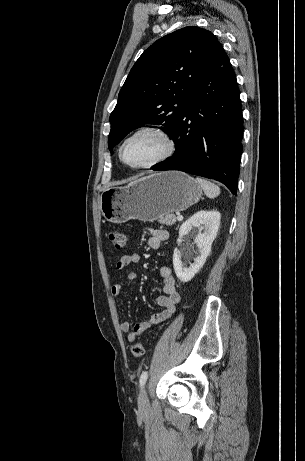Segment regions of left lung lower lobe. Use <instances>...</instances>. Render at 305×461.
<instances>
[{
    "mask_svg": "<svg viewBox=\"0 0 305 461\" xmlns=\"http://www.w3.org/2000/svg\"><path fill=\"white\" fill-rule=\"evenodd\" d=\"M243 117L236 76L224 49L194 87L171 138L172 157L155 171L180 170L222 182L237 193Z\"/></svg>",
    "mask_w": 305,
    "mask_h": 461,
    "instance_id": "left-lung-lower-lobe-1",
    "label": "left lung lower lobe"
}]
</instances>
